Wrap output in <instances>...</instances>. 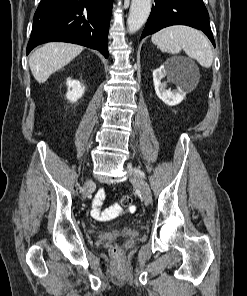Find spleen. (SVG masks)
Returning a JSON list of instances; mask_svg holds the SVG:
<instances>
[{
	"label": "spleen",
	"mask_w": 247,
	"mask_h": 296,
	"mask_svg": "<svg viewBox=\"0 0 247 296\" xmlns=\"http://www.w3.org/2000/svg\"><path fill=\"white\" fill-rule=\"evenodd\" d=\"M152 42L162 52L178 54L181 50L205 68L213 63L209 40L200 31L183 25L166 27L152 35Z\"/></svg>",
	"instance_id": "1"
}]
</instances>
